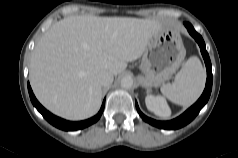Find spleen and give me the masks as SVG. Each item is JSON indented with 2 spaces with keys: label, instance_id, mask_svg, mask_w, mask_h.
<instances>
[{
  "label": "spleen",
  "instance_id": "spleen-1",
  "mask_svg": "<svg viewBox=\"0 0 238 158\" xmlns=\"http://www.w3.org/2000/svg\"><path fill=\"white\" fill-rule=\"evenodd\" d=\"M205 79L199 58L192 56L184 63L172 83L162 85L161 93L175 104L189 106L200 97Z\"/></svg>",
  "mask_w": 238,
  "mask_h": 158
}]
</instances>
